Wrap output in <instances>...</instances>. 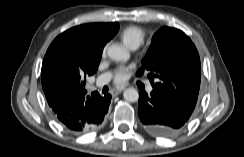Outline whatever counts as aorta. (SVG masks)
<instances>
[{
	"mask_svg": "<svg viewBox=\"0 0 244 157\" xmlns=\"http://www.w3.org/2000/svg\"><path fill=\"white\" fill-rule=\"evenodd\" d=\"M107 54L114 61H127L129 59L128 51L118 44L109 46ZM123 97L128 102H136L138 101L139 93L135 88H128L124 91Z\"/></svg>",
	"mask_w": 244,
	"mask_h": 157,
	"instance_id": "762f6f07",
	"label": "aorta"
}]
</instances>
